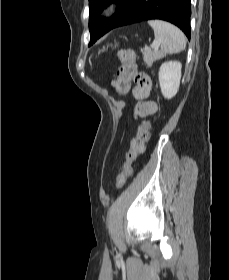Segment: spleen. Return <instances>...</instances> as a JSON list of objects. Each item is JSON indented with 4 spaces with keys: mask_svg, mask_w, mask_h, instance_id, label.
<instances>
[{
    "mask_svg": "<svg viewBox=\"0 0 229 280\" xmlns=\"http://www.w3.org/2000/svg\"><path fill=\"white\" fill-rule=\"evenodd\" d=\"M148 24L154 30L162 54L179 53L185 49V36L178 27L162 20H149Z\"/></svg>",
    "mask_w": 229,
    "mask_h": 280,
    "instance_id": "obj_1",
    "label": "spleen"
}]
</instances>
